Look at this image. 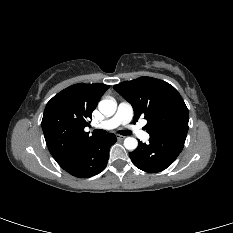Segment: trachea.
Returning <instances> with one entry per match:
<instances>
[{
	"mask_svg": "<svg viewBox=\"0 0 233 233\" xmlns=\"http://www.w3.org/2000/svg\"><path fill=\"white\" fill-rule=\"evenodd\" d=\"M96 135H104L106 134V131L105 130H101V129H96L93 131ZM119 133L121 135H131L132 133L128 130H120Z\"/></svg>",
	"mask_w": 233,
	"mask_h": 233,
	"instance_id": "obj_1",
	"label": "trachea"
}]
</instances>
